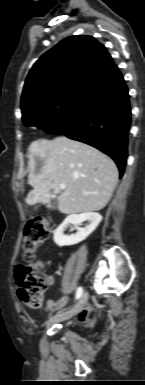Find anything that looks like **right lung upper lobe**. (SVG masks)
I'll return each instance as SVG.
<instances>
[{
	"instance_id": "cb5924a9",
	"label": "right lung upper lobe",
	"mask_w": 145,
	"mask_h": 385,
	"mask_svg": "<svg viewBox=\"0 0 145 385\" xmlns=\"http://www.w3.org/2000/svg\"><path fill=\"white\" fill-rule=\"evenodd\" d=\"M121 76L106 48L95 38H65L30 70L21 97L22 116L70 90L95 92Z\"/></svg>"
}]
</instances>
